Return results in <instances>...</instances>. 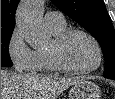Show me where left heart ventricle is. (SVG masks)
I'll list each match as a JSON object with an SVG mask.
<instances>
[{"mask_svg": "<svg viewBox=\"0 0 115 99\" xmlns=\"http://www.w3.org/2000/svg\"><path fill=\"white\" fill-rule=\"evenodd\" d=\"M63 61L76 68H88L96 62L93 44L81 34L71 35L61 48Z\"/></svg>", "mask_w": 115, "mask_h": 99, "instance_id": "b2bd125f", "label": "left heart ventricle"}]
</instances>
